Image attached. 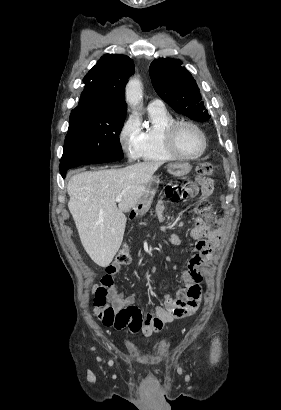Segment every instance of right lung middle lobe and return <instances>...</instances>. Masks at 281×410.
<instances>
[{"mask_svg":"<svg viewBox=\"0 0 281 410\" xmlns=\"http://www.w3.org/2000/svg\"><path fill=\"white\" fill-rule=\"evenodd\" d=\"M126 113H114L89 107L72 110L65 138L60 172L83 165L106 163L124 157L120 145Z\"/></svg>","mask_w":281,"mask_h":410,"instance_id":"obj_1","label":"right lung middle lobe"}]
</instances>
